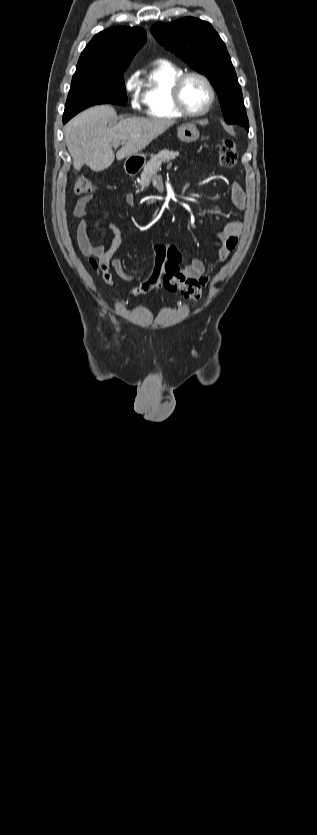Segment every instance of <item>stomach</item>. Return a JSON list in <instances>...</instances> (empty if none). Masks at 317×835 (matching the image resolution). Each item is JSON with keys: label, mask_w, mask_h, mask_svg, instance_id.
Wrapping results in <instances>:
<instances>
[{"label": "stomach", "mask_w": 317, "mask_h": 835, "mask_svg": "<svg viewBox=\"0 0 317 835\" xmlns=\"http://www.w3.org/2000/svg\"><path fill=\"white\" fill-rule=\"evenodd\" d=\"M199 135L200 133L194 124L185 123L178 127L177 136L183 142H195L199 138ZM131 158L135 159L137 163H143L146 160V155L144 153H138Z\"/></svg>", "instance_id": "1"}]
</instances>
